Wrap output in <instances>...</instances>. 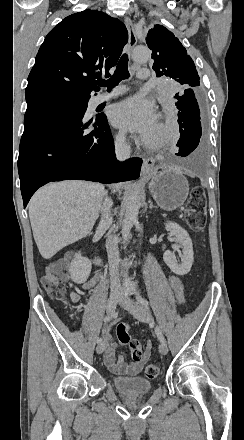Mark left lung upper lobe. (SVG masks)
Masks as SVG:
<instances>
[{
    "mask_svg": "<svg viewBox=\"0 0 244 440\" xmlns=\"http://www.w3.org/2000/svg\"><path fill=\"white\" fill-rule=\"evenodd\" d=\"M146 42L152 50V68L157 76H166L186 87L199 86L195 64L172 32L161 25L149 30Z\"/></svg>",
    "mask_w": 244,
    "mask_h": 440,
    "instance_id": "5c2ea615",
    "label": "left lung upper lobe"
}]
</instances>
